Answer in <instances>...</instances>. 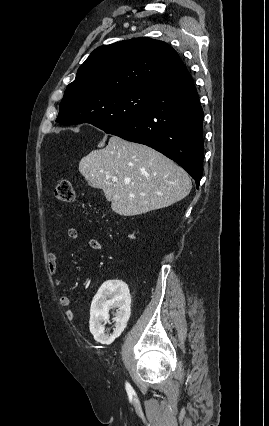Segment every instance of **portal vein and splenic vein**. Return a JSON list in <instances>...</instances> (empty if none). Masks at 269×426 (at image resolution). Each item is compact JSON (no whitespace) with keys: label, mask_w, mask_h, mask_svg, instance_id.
<instances>
[{"label":"portal vein and splenic vein","mask_w":269,"mask_h":426,"mask_svg":"<svg viewBox=\"0 0 269 426\" xmlns=\"http://www.w3.org/2000/svg\"><path fill=\"white\" fill-rule=\"evenodd\" d=\"M112 180H113V181H117V178H113Z\"/></svg>","instance_id":"18ae733b"}]
</instances>
